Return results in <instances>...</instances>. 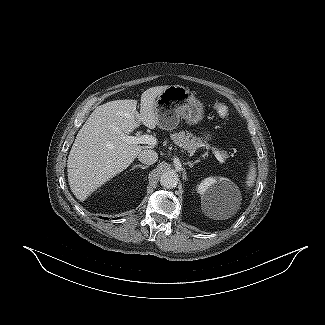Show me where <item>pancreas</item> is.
<instances>
[{
	"label": "pancreas",
	"mask_w": 325,
	"mask_h": 325,
	"mask_svg": "<svg viewBox=\"0 0 325 325\" xmlns=\"http://www.w3.org/2000/svg\"><path fill=\"white\" fill-rule=\"evenodd\" d=\"M170 137L176 145L183 148L189 153L195 152L199 148L207 147V145H205L201 139L193 136V134L189 132H185V131L176 132L171 134ZM222 156L224 158L227 157V155L224 153H222Z\"/></svg>",
	"instance_id": "1"
}]
</instances>
